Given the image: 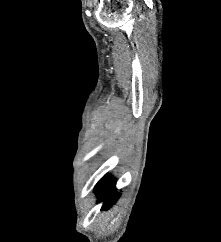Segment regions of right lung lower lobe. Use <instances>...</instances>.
<instances>
[{
  "mask_svg": "<svg viewBox=\"0 0 221 242\" xmlns=\"http://www.w3.org/2000/svg\"><path fill=\"white\" fill-rule=\"evenodd\" d=\"M115 181L109 175L97 184L96 193L99 197V201L105 199L103 209H108L119 197L118 192L115 190Z\"/></svg>",
  "mask_w": 221,
  "mask_h": 242,
  "instance_id": "right-lung-lower-lobe-1",
  "label": "right lung lower lobe"
}]
</instances>
